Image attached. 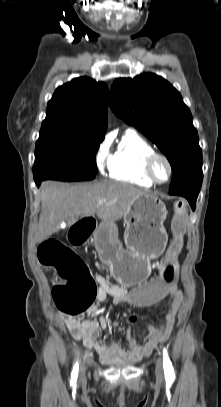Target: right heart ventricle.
<instances>
[{
  "instance_id": "right-heart-ventricle-1",
  "label": "right heart ventricle",
  "mask_w": 221,
  "mask_h": 407,
  "mask_svg": "<svg viewBox=\"0 0 221 407\" xmlns=\"http://www.w3.org/2000/svg\"><path fill=\"white\" fill-rule=\"evenodd\" d=\"M153 153L155 150L149 142L136 132L127 131L111 155L109 176L141 187L153 186L144 170L146 159Z\"/></svg>"
}]
</instances>
